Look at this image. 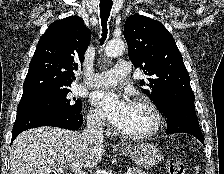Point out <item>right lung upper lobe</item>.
Masks as SVG:
<instances>
[{
  "label": "right lung upper lobe",
  "instance_id": "1",
  "mask_svg": "<svg viewBox=\"0 0 224 174\" xmlns=\"http://www.w3.org/2000/svg\"><path fill=\"white\" fill-rule=\"evenodd\" d=\"M90 31L78 16L50 24L38 42L23 84V94L49 87H71L83 62Z\"/></svg>",
  "mask_w": 224,
  "mask_h": 174
}]
</instances>
